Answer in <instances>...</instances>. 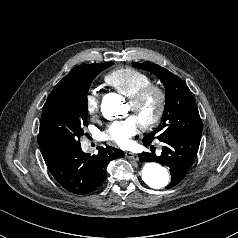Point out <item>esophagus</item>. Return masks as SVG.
Segmentation results:
<instances>
[{
	"mask_svg": "<svg viewBox=\"0 0 238 238\" xmlns=\"http://www.w3.org/2000/svg\"><path fill=\"white\" fill-rule=\"evenodd\" d=\"M125 156H126L127 158H130V159H133V160H138V155H136V154H134V153H132V152H126V153H125Z\"/></svg>",
	"mask_w": 238,
	"mask_h": 238,
	"instance_id": "34e87169",
	"label": "esophagus"
}]
</instances>
